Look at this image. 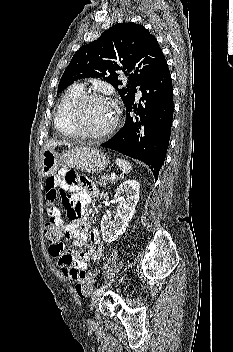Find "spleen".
Instances as JSON below:
<instances>
[{"instance_id": "obj_1", "label": "spleen", "mask_w": 233, "mask_h": 352, "mask_svg": "<svg viewBox=\"0 0 233 352\" xmlns=\"http://www.w3.org/2000/svg\"><path fill=\"white\" fill-rule=\"evenodd\" d=\"M116 164L125 174H128L132 170V165L124 159L117 158Z\"/></svg>"}]
</instances>
